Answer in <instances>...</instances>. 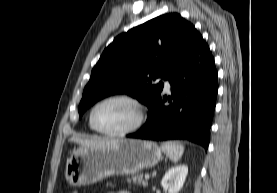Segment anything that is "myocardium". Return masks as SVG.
<instances>
[{"mask_svg": "<svg viewBox=\"0 0 277 193\" xmlns=\"http://www.w3.org/2000/svg\"><path fill=\"white\" fill-rule=\"evenodd\" d=\"M116 100L129 102L136 107L138 112L136 122L132 126L126 129L115 131V132H110V131H105L100 129L94 121V113L96 109L103 103H106L109 101H116ZM146 118H147V107L140 99L128 94H116V95L107 96L94 104L89 114V123L92 126V128L100 134L110 136V137H124L138 131L145 123Z\"/></svg>", "mask_w": 277, "mask_h": 193, "instance_id": "f54148a6", "label": "myocardium"}]
</instances>
